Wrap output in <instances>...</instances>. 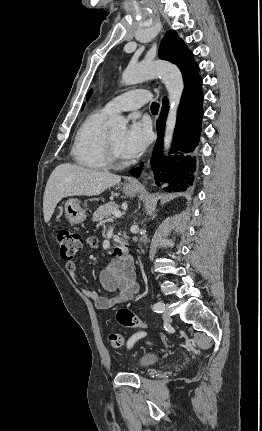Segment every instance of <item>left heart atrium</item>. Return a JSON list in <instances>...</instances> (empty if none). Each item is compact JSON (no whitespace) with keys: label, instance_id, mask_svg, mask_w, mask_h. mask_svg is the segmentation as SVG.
Masks as SVG:
<instances>
[{"label":"left heart atrium","instance_id":"obj_1","mask_svg":"<svg viewBox=\"0 0 262 431\" xmlns=\"http://www.w3.org/2000/svg\"><path fill=\"white\" fill-rule=\"evenodd\" d=\"M150 141V128L136 118L119 143V151L125 158H135L143 153Z\"/></svg>","mask_w":262,"mask_h":431}]
</instances>
